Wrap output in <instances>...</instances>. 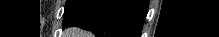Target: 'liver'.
I'll list each match as a JSON object with an SVG mask.
<instances>
[{"label": "liver", "instance_id": "1", "mask_svg": "<svg viewBox=\"0 0 219 37\" xmlns=\"http://www.w3.org/2000/svg\"><path fill=\"white\" fill-rule=\"evenodd\" d=\"M65 37H90V33L85 32L79 28L73 27L66 31Z\"/></svg>", "mask_w": 219, "mask_h": 37}]
</instances>
